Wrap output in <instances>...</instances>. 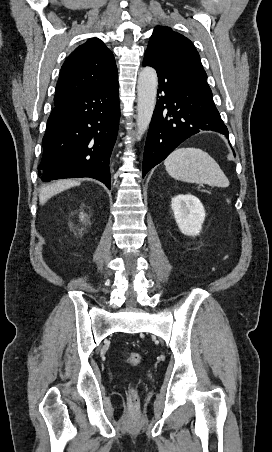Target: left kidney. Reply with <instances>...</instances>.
<instances>
[{
    "mask_svg": "<svg viewBox=\"0 0 272 452\" xmlns=\"http://www.w3.org/2000/svg\"><path fill=\"white\" fill-rule=\"evenodd\" d=\"M171 208L175 221L184 235H199L206 213L197 197L191 194H179L172 198Z\"/></svg>",
    "mask_w": 272,
    "mask_h": 452,
    "instance_id": "5707ae66",
    "label": "left kidney"
}]
</instances>
